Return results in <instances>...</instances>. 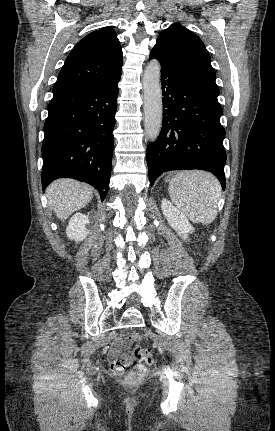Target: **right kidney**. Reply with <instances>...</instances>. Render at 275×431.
Returning a JSON list of instances; mask_svg holds the SVG:
<instances>
[{
  "label": "right kidney",
  "mask_w": 275,
  "mask_h": 431,
  "mask_svg": "<svg viewBox=\"0 0 275 431\" xmlns=\"http://www.w3.org/2000/svg\"><path fill=\"white\" fill-rule=\"evenodd\" d=\"M89 223L88 217L82 213L74 214L70 221L69 225L66 229L67 237L76 242L83 241L88 235V230L86 228Z\"/></svg>",
  "instance_id": "ca27d5eb"
}]
</instances>
